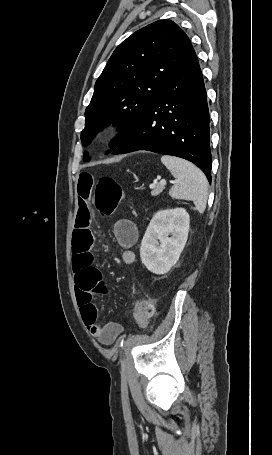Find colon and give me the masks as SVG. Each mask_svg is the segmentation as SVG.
<instances>
[{
  "mask_svg": "<svg viewBox=\"0 0 272 455\" xmlns=\"http://www.w3.org/2000/svg\"><path fill=\"white\" fill-rule=\"evenodd\" d=\"M123 191L120 185L111 177L98 179L94 189V204L102 216H111L123 200ZM154 314L153 304L146 299L136 301L134 317L141 329H146Z\"/></svg>",
  "mask_w": 272,
  "mask_h": 455,
  "instance_id": "colon-1",
  "label": "colon"
}]
</instances>
